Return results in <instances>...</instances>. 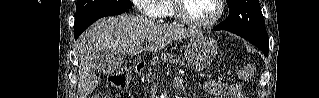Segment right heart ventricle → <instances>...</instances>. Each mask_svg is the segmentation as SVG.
Returning <instances> with one entry per match:
<instances>
[{
    "label": "right heart ventricle",
    "instance_id": "right-heart-ventricle-1",
    "mask_svg": "<svg viewBox=\"0 0 319 98\" xmlns=\"http://www.w3.org/2000/svg\"><path fill=\"white\" fill-rule=\"evenodd\" d=\"M150 6L157 10L162 18H174L175 12L170 1H152Z\"/></svg>",
    "mask_w": 319,
    "mask_h": 98
}]
</instances>
